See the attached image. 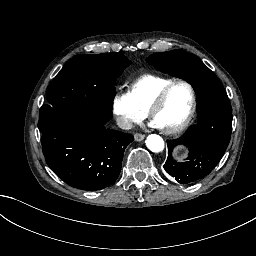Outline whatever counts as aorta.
<instances>
[{
    "label": "aorta",
    "mask_w": 256,
    "mask_h": 256,
    "mask_svg": "<svg viewBox=\"0 0 256 256\" xmlns=\"http://www.w3.org/2000/svg\"><path fill=\"white\" fill-rule=\"evenodd\" d=\"M147 148L153 153H160L165 148V142L159 135H149L146 140Z\"/></svg>",
    "instance_id": "1"
}]
</instances>
